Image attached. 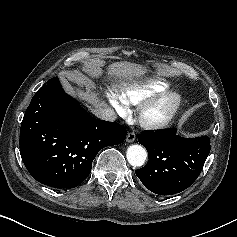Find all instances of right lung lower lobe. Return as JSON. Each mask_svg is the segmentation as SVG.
<instances>
[{
  "label": "right lung lower lobe",
  "mask_w": 237,
  "mask_h": 237,
  "mask_svg": "<svg viewBox=\"0 0 237 237\" xmlns=\"http://www.w3.org/2000/svg\"><path fill=\"white\" fill-rule=\"evenodd\" d=\"M125 137L122 125L91 117L54 77L36 92L26 109L20 153L38 182L74 188L90 174L97 153L122 143Z\"/></svg>",
  "instance_id": "obj_1"
}]
</instances>
